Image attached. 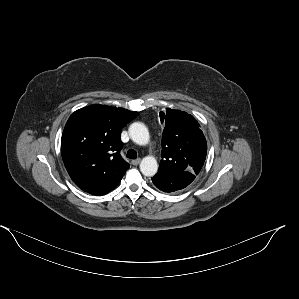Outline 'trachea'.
<instances>
[{
    "mask_svg": "<svg viewBox=\"0 0 299 299\" xmlns=\"http://www.w3.org/2000/svg\"><path fill=\"white\" fill-rule=\"evenodd\" d=\"M127 158L129 159H136L137 158V152L133 149H129L127 151Z\"/></svg>",
    "mask_w": 299,
    "mask_h": 299,
    "instance_id": "trachea-1",
    "label": "trachea"
}]
</instances>
